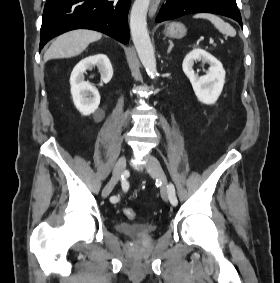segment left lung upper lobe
Here are the masks:
<instances>
[{
  "label": "left lung upper lobe",
  "mask_w": 280,
  "mask_h": 283,
  "mask_svg": "<svg viewBox=\"0 0 280 283\" xmlns=\"http://www.w3.org/2000/svg\"><path fill=\"white\" fill-rule=\"evenodd\" d=\"M227 1L231 2L232 4L237 5V4H236V0H227Z\"/></svg>",
  "instance_id": "obj_1"
}]
</instances>
